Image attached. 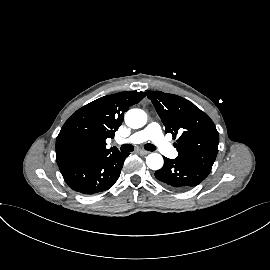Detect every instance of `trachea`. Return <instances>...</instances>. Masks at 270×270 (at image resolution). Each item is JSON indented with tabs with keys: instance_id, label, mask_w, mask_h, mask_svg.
I'll list each match as a JSON object with an SVG mask.
<instances>
[{
	"instance_id": "obj_1",
	"label": "trachea",
	"mask_w": 270,
	"mask_h": 270,
	"mask_svg": "<svg viewBox=\"0 0 270 270\" xmlns=\"http://www.w3.org/2000/svg\"><path fill=\"white\" fill-rule=\"evenodd\" d=\"M144 148L148 151H155L156 150V147L153 145V144H146L144 146ZM120 150L123 151V152H131L134 150V147L131 145V144H123L121 147H120Z\"/></svg>"
}]
</instances>
